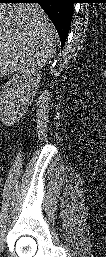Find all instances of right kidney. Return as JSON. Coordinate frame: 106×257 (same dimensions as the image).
<instances>
[{
	"mask_svg": "<svg viewBox=\"0 0 106 257\" xmlns=\"http://www.w3.org/2000/svg\"><path fill=\"white\" fill-rule=\"evenodd\" d=\"M37 67L18 69L15 75L2 85L0 111L2 121L14 123L31 102L41 79Z\"/></svg>",
	"mask_w": 106,
	"mask_h": 257,
	"instance_id": "1",
	"label": "right kidney"
}]
</instances>
